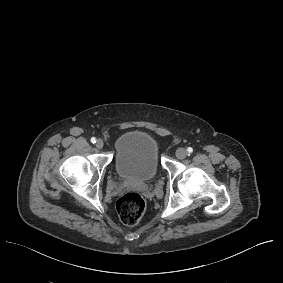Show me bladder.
I'll return each mask as SVG.
<instances>
[{
	"label": "bladder",
	"instance_id": "obj_1",
	"mask_svg": "<svg viewBox=\"0 0 283 283\" xmlns=\"http://www.w3.org/2000/svg\"><path fill=\"white\" fill-rule=\"evenodd\" d=\"M116 171L126 179L150 180L160 169L156 141L140 131L124 133L117 140Z\"/></svg>",
	"mask_w": 283,
	"mask_h": 283
}]
</instances>
